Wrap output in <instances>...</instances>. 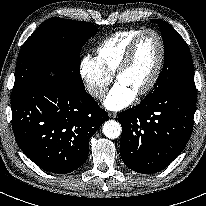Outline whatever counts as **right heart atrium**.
<instances>
[{"label":"right heart atrium","instance_id":"obj_1","mask_svg":"<svg viewBox=\"0 0 206 206\" xmlns=\"http://www.w3.org/2000/svg\"><path fill=\"white\" fill-rule=\"evenodd\" d=\"M80 76L88 94L94 99H101L113 80L101 66L96 57L84 56L80 62Z\"/></svg>","mask_w":206,"mask_h":206}]
</instances>
